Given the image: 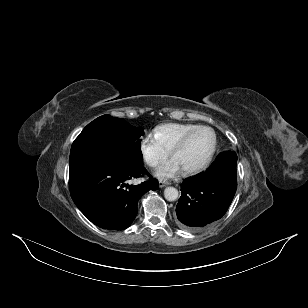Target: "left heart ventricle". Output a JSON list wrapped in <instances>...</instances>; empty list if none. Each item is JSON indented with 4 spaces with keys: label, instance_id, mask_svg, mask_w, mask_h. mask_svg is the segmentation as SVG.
I'll use <instances>...</instances> for the list:
<instances>
[{
    "label": "left heart ventricle",
    "instance_id": "left-heart-ventricle-1",
    "mask_svg": "<svg viewBox=\"0 0 308 308\" xmlns=\"http://www.w3.org/2000/svg\"><path fill=\"white\" fill-rule=\"evenodd\" d=\"M213 141V135L210 131H199L172 158L178 162L182 170L195 167L208 156L213 146Z\"/></svg>",
    "mask_w": 308,
    "mask_h": 308
}]
</instances>
